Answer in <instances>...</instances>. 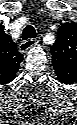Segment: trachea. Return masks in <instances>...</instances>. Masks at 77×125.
Listing matches in <instances>:
<instances>
[{"instance_id": "1", "label": "trachea", "mask_w": 77, "mask_h": 125, "mask_svg": "<svg viewBox=\"0 0 77 125\" xmlns=\"http://www.w3.org/2000/svg\"><path fill=\"white\" fill-rule=\"evenodd\" d=\"M36 35L37 33L35 28L31 25H27L23 30L22 39L27 40V39L35 38Z\"/></svg>"}]
</instances>
